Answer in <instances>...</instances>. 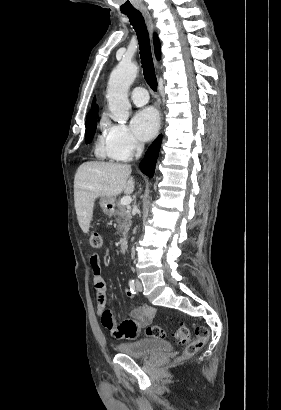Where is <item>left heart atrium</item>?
I'll use <instances>...</instances> for the list:
<instances>
[{
    "instance_id": "39dd6f15",
    "label": "left heart atrium",
    "mask_w": 281,
    "mask_h": 410,
    "mask_svg": "<svg viewBox=\"0 0 281 410\" xmlns=\"http://www.w3.org/2000/svg\"><path fill=\"white\" fill-rule=\"evenodd\" d=\"M159 115L154 108L139 110L133 117L131 126L134 133L141 140H150L159 128Z\"/></svg>"
}]
</instances>
